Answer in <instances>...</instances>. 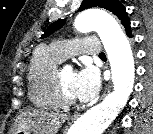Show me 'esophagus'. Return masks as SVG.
<instances>
[{"mask_svg": "<svg viewBox=\"0 0 153 134\" xmlns=\"http://www.w3.org/2000/svg\"><path fill=\"white\" fill-rule=\"evenodd\" d=\"M111 90V84L109 83L107 86H106V89H105V92H104V95H106L107 93H109ZM76 118V116H75Z\"/></svg>", "mask_w": 153, "mask_h": 134, "instance_id": "obj_1", "label": "esophagus"}]
</instances>
